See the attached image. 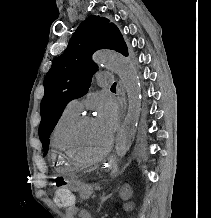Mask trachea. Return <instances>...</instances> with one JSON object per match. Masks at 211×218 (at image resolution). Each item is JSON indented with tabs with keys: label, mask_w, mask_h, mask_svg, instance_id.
Segmentation results:
<instances>
[{
	"label": "trachea",
	"mask_w": 211,
	"mask_h": 218,
	"mask_svg": "<svg viewBox=\"0 0 211 218\" xmlns=\"http://www.w3.org/2000/svg\"><path fill=\"white\" fill-rule=\"evenodd\" d=\"M111 88H116V82L113 83L112 87Z\"/></svg>",
	"instance_id": "1"
}]
</instances>
